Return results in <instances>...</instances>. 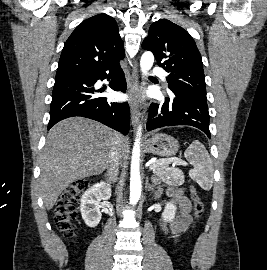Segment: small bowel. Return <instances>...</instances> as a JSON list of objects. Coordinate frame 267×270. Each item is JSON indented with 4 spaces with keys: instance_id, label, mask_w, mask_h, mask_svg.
I'll return each mask as SVG.
<instances>
[{
    "instance_id": "c3829d8e",
    "label": "small bowel",
    "mask_w": 267,
    "mask_h": 270,
    "mask_svg": "<svg viewBox=\"0 0 267 270\" xmlns=\"http://www.w3.org/2000/svg\"><path fill=\"white\" fill-rule=\"evenodd\" d=\"M166 195V202L174 204L178 209V213L172 222L167 223L163 221L161 224V230L167 239L175 240L189 227L192 221V217L190 215L191 205L180 188L170 187L166 190Z\"/></svg>"
}]
</instances>
